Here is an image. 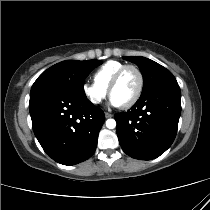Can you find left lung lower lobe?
<instances>
[{"label":"left lung lower lobe","instance_id":"1","mask_svg":"<svg viewBox=\"0 0 210 210\" xmlns=\"http://www.w3.org/2000/svg\"><path fill=\"white\" fill-rule=\"evenodd\" d=\"M180 113L181 92L177 81L141 95L131 110L114 115L123 151L140 160L159 157L175 139Z\"/></svg>","mask_w":210,"mask_h":210}]
</instances>
